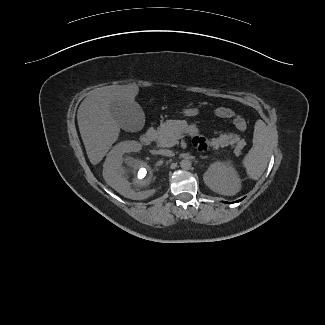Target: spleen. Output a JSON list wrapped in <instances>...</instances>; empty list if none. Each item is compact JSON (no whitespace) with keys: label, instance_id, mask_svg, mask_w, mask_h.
Masks as SVG:
<instances>
[{"label":"spleen","instance_id":"obj_1","mask_svg":"<svg viewBox=\"0 0 325 325\" xmlns=\"http://www.w3.org/2000/svg\"><path fill=\"white\" fill-rule=\"evenodd\" d=\"M271 155V140L268 126L257 120L254 126L253 146L242 163L250 178L258 180L265 171Z\"/></svg>","mask_w":325,"mask_h":325}]
</instances>
